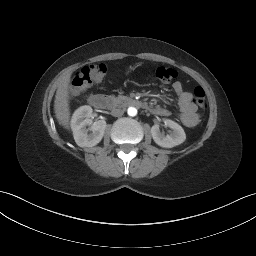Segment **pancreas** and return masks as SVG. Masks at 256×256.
Returning a JSON list of instances; mask_svg holds the SVG:
<instances>
[{"label":"pancreas","mask_w":256,"mask_h":256,"mask_svg":"<svg viewBox=\"0 0 256 256\" xmlns=\"http://www.w3.org/2000/svg\"><path fill=\"white\" fill-rule=\"evenodd\" d=\"M109 99L114 103V104H119V103H122L124 100L127 99L126 96H122V95H119L118 97L114 96V95H110L109 96Z\"/></svg>","instance_id":"obj_1"}]
</instances>
